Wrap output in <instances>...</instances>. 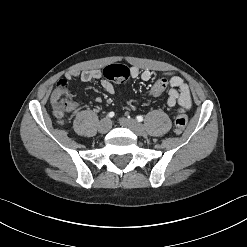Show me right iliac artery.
I'll return each instance as SVG.
<instances>
[{"label":"right iliac artery","mask_w":247,"mask_h":247,"mask_svg":"<svg viewBox=\"0 0 247 247\" xmlns=\"http://www.w3.org/2000/svg\"><path fill=\"white\" fill-rule=\"evenodd\" d=\"M114 116V112L108 113L107 117L112 118Z\"/></svg>","instance_id":"right-iliac-artery-1"}]
</instances>
